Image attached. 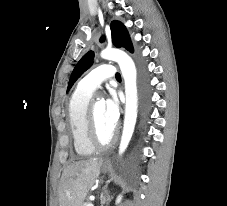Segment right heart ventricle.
<instances>
[{"mask_svg": "<svg viewBox=\"0 0 227 206\" xmlns=\"http://www.w3.org/2000/svg\"><path fill=\"white\" fill-rule=\"evenodd\" d=\"M92 92L77 87L69 99L67 120L70 127L74 150L85 157L95 151L87 136V112Z\"/></svg>", "mask_w": 227, "mask_h": 206, "instance_id": "right-heart-ventricle-1", "label": "right heart ventricle"}]
</instances>
